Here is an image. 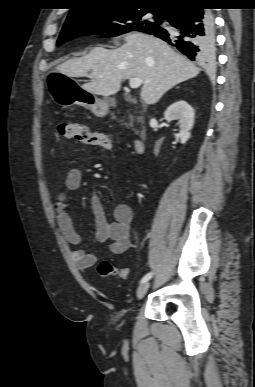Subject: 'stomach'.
I'll return each instance as SVG.
<instances>
[{
	"label": "stomach",
	"mask_w": 255,
	"mask_h": 387,
	"mask_svg": "<svg viewBox=\"0 0 255 387\" xmlns=\"http://www.w3.org/2000/svg\"><path fill=\"white\" fill-rule=\"evenodd\" d=\"M47 81L50 84L52 99L63 107L78 104L90 109L95 115L103 117L110 106L109 100L97 98L94 94L78 86L72 78L60 70H47Z\"/></svg>",
	"instance_id": "stomach-1"
}]
</instances>
